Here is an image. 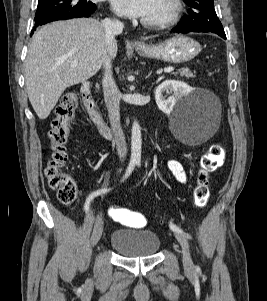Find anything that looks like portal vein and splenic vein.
I'll list each match as a JSON object with an SVG mask.
<instances>
[{
  "instance_id": "18ae733b",
  "label": "portal vein and splenic vein",
  "mask_w": 267,
  "mask_h": 301,
  "mask_svg": "<svg viewBox=\"0 0 267 301\" xmlns=\"http://www.w3.org/2000/svg\"><path fill=\"white\" fill-rule=\"evenodd\" d=\"M76 65H77V61H73V62L71 63V66H72V67H74V66H76ZM172 71H174V68H173V67H166V68H164V70H163L164 73H171Z\"/></svg>"
}]
</instances>
